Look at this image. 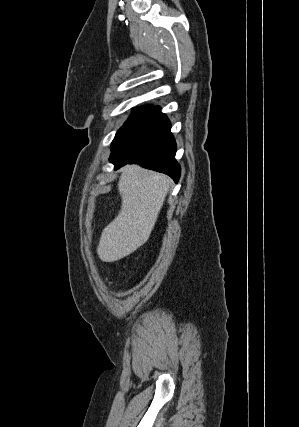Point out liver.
Segmentation results:
<instances>
[{
  "mask_svg": "<svg viewBox=\"0 0 299 427\" xmlns=\"http://www.w3.org/2000/svg\"><path fill=\"white\" fill-rule=\"evenodd\" d=\"M171 180L137 165L123 168L118 190L122 206L100 237L97 254L103 262L120 260L142 246L155 226Z\"/></svg>",
  "mask_w": 299,
  "mask_h": 427,
  "instance_id": "1",
  "label": "liver"
}]
</instances>
